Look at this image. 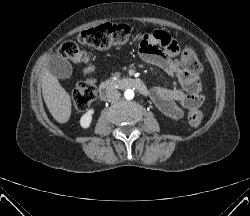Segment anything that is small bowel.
<instances>
[{"label":"small bowel","mask_w":250,"mask_h":216,"mask_svg":"<svg viewBox=\"0 0 250 216\" xmlns=\"http://www.w3.org/2000/svg\"><path fill=\"white\" fill-rule=\"evenodd\" d=\"M161 48L166 49L167 55L162 53ZM176 52L175 39L164 31L147 33L140 42L143 59L176 77L181 84L182 89L155 86L150 91L158 109L172 120L181 119L184 109L199 107L203 102L200 78L182 68Z\"/></svg>","instance_id":"small-bowel-1"}]
</instances>
